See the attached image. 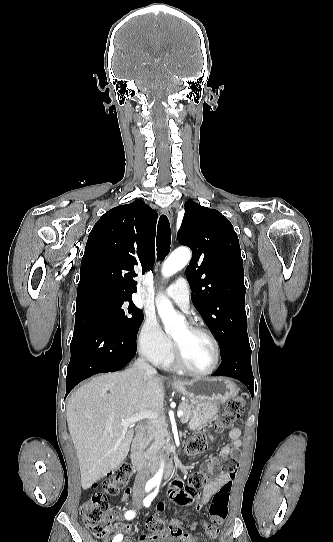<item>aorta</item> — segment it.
Returning a JSON list of instances; mask_svg holds the SVG:
<instances>
[{"label": "aorta", "instance_id": "obj_1", "mask_svg": "<svg viewBox=\"0 0 333 542\" xmlns=\"http://www.w3.org/2000/svg\"><path fill=\"white\" fill-rule=\"evenodd\" d=\"M190 258H191V254L189 250H175V252H172L169 258H167L166 262H164L163 264V268H162L163 276H165V278H170V276H173V274H176V272H179V270H182V268H184V266L188 264ZM156 306H157V312L164 324L166 334L167 332L168 334H172L174 328H177V326H182L183 324L182 316H178L170 300H167V298H161V300L157 302ZM163 472H164V466L162 464L157 474H155V476L151 478V480L155 482L156 486H160Z\"/></svg>", "mask_w": 333, "mask_h": 542}]
</instances>
